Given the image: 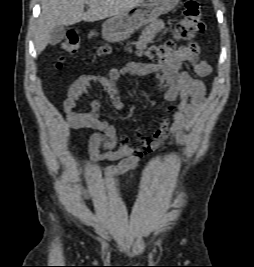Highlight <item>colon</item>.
<instances>
[{
	"label": "colon",
	"mask_w": 254,
	"mask_h": 267,
	"mask_svg": "<svg viewBox=\"0 0 254 267\" xmlns=\"http://www.w3.org/2000/svg\"><path fill=\"white\" fill-rule=\"evenodd\" d=\"M204 30V22L200 4L196 0H187L182 18L173 27L172 39L157 45H152L143 51V54L156 62L167 60L177 50L180 41H191L197 34ZM79 36L76 31L70 30L61 44L64 56H72L79 49ZM101 54L110 52L106 45L100 48ZM62 60V59H61ZM61 66V61L57 64Z\"/></svg>",
	"instance_id": "5ec220e1"
}]
</instances>
